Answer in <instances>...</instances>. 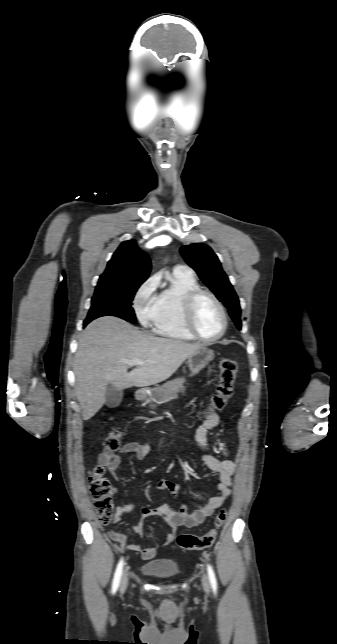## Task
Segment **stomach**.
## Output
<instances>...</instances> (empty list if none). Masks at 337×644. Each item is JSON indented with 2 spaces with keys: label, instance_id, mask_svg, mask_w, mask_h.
Returning <instances> with one entry per match:
<instances>
[{
  "label": "stomach",
  "instance_id": "1",
  "mask_svg": "<svg viewBox=\"0 0 337 644\" xmlns=\"http://www.w3.org/2000/svg\"><path fill=\"white\" fill-rule=\"evenodd\" d=\"M214 358L213 350L202 346L194 354L188 357L187 364L193 375L198 374Z\"/></svg>",
  "mask_w": 337,
  "mask_h": 644
}]
</instances>
